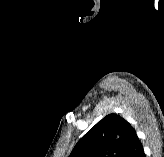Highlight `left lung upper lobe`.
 <instances>
[{
	"label": "left lung upper lobe",
	"mask_w": 164,
	"mask_h": 157,
	"mask_svg": "<svg viewBox=\"0 0 164 157\" xmlns=\"http://www.w3.org/2000/svg\"><path fill=\"white\" fill-rule=\"evenodd\" d=\"M135 135L124 118L112 113L79 140L69 157H123Z\"/></svg>",
	"instance_id": "1"
}]
</instances>
